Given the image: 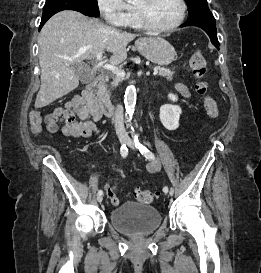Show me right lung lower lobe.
Segmentation results:
<instances>
[{
  "mask_svg": "<svg viewBox=\"0 0 261 273\" xmlns=\"http://www.w3.org/2000/svg\"><path fill=\"white\" fill-rule=\"evenodd\" d=\"M70 10H75L78 12L83 13L84 15L87 16H94L98 17L99 15H96L92 13L81 0H76L75 2L71 3L70 5ZM51 16H42V20L39 26V29L42 28V26L45 24V22L50 18Z\"/></svg>",
  "mask_w": 261,
  "mask_h": 273,
  "instance_id": "obj_1",
  "label": "right lung lower lobe"
}]
</instances>
